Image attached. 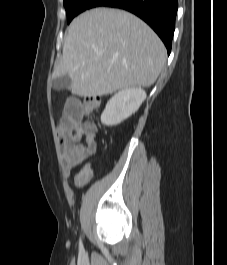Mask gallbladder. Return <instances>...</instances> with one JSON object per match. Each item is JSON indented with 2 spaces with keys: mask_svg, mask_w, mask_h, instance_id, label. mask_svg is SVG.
Here are the masks:
<instances>
[{
  "mask_svg": "<svg viewBox=\"0 0 227 265\" xmlns=\"http://www.w3.org/2000/svg\"><path fill=\"white\" fill-rule=\"evenodd\" d=\"M70 85L71 79L67 74L56 77L52 80V86L57 90L67 89Z\"/></svg>",
  "mask_w": 227,
  "mask_h": 265,
  "instance_id": "obj_1",
  "label": "gallbladder"
}]
</instances>
